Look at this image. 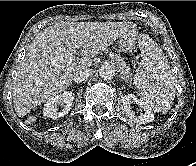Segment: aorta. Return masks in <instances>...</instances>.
I'll return each instance as SVG.
<instances>
[{"instance_id":"762f6f07","label":"aorta","mask_w":196,"mask_h":166,"mask_svg":"<svg viewBox=\"0 0 196 166\" xmlns=\"http://www.w3.org/2000/svg\"><path fill=\"white\" fill-rule=\"evenodd\" d=\"M99 75L105 81L112 80L113 77L115 76V69L113 68L112 65L105 64V65L100 67Z\"/></svg>"}]
</instances>
